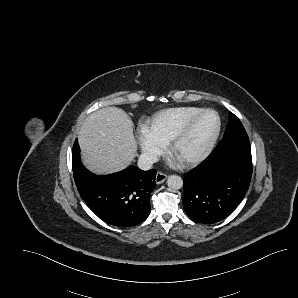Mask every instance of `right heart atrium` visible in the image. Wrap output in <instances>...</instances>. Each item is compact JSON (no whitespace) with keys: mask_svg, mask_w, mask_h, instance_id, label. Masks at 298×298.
<instances>
[{"mask_svg":"<svg viewBox=\"0 0 298 298\" xmlns=\"http://www.w3.org/2000/svg\"><path fill=\"white\" fill-rule=\"evenodd\" d=\"M136 133L140 136L142 146L145 149L154 151L158 157L164 153V137L157 129L149 125H142L137 129Z\"/></svg>","mask_w":298,"mask_h":298,"instance_id":"d8ad5b80","label":"right heart atrium"}]
</instances>
